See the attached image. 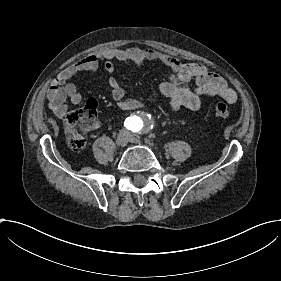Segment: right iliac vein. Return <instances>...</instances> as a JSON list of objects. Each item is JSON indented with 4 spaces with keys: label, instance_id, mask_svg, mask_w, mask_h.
<instances>
[{
    "label": "right iliac vein",
    "instance_id": "right-iliac-vein-1",
    "mask_svg": "<svg viewBox=\"0 0 281 281\" xmlns=\"http://www.w3.org/2000/svg\"><path fill=\"white\" fill-rule=\"evenodd\" d=\"M115 144L117 147L122 148L129 141V136L126 133H121L116 136Z\"/></svg>",
    "mask_w": 281,
    "mask_h": 281
}]
</instances>
